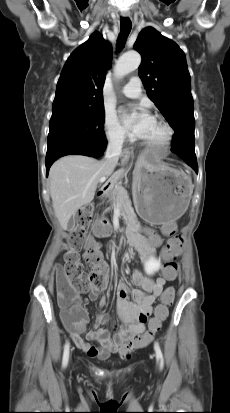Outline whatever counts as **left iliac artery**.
<instances>
[{
    "instance_id": "44dca946",
    "label": "left iliac artery",
    "mask_w": 230,
    "mask_h": 413,
    "mask_svg": "<svg viewBox=\"0 0 230 413\" xmlns=\"http://www.w3.org/2000/svg\"><path fill=\"white\" fill-rule=\"evenodd\" d=\"M154 349H155V352H156V359L159 361L160 368H162L163 363H164V359H163V354H162V351L160 349V346L157 342H155V344H154Z\"/></svg>"
}]
</instances>
